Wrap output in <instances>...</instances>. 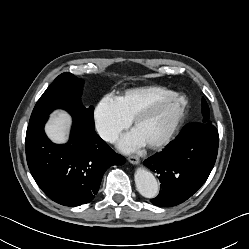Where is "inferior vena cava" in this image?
Segmentation results:
<instances>
[{
	"label": "inferior vena cava",
	"mask_w": 249,
	"mask_h": 249,
	"mask_svg": "<svg viewBox=\"0 0 249 249\" xmlns=\"http://www.w3.org/2000/svg\"><path fill=\"white\" fill-rule=\"evenodd\" d=\"M101 137L105 140V141H108V142H115L116 141V134L113 133V132H108V131H103L101 132Z\"/></svg>",
	"instance_id": "1"
}]
</instances>
